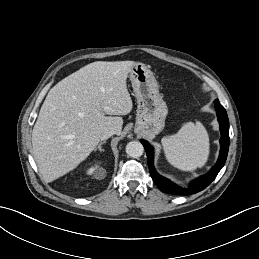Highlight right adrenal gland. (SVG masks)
I'll use <instances>...</instances> for the list:
<instances>
[{"instance_id":"1","label":"right adrenal gland","mask_w":259,"mask_h":259,"mask_svg":"<svg viewBox=\"0 0 259 259\" xmlns=\"http://www.w3.org/2000/svg\"><path fill=\"white\" fill-rule=\"evenodd\" d=\"M105 143H106V141L100 142L99 145H98V147H96V148L94 149V151L96 152L97 150H99L100 152H103L104 149H102V145L105 144Z\"/></svg>"}]
</instances>
